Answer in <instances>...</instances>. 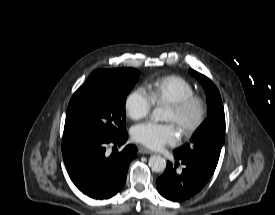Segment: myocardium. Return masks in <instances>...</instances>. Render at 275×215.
I'll list each match as a JSON object with an SVG mask.
<instances>
[{
	"mask_svg": "<svg viewBox=\"0 0 275 215\" xmlns=\"http://www.w3.org/2000/svg\"><path fill=\"white\" fill-rule=\"evenodd\" d=\"M168 107H170L178 115H184L194 107L197 109L196 115L191 121L181 124L180 129L184 136H190L198 130L206 120L208 113L206 101L204 98L196 94H192L178 101L169 103Z\"/></svg>",
	"mask_w": 275,
	"mask_h": 215,
	"instance_id": "1",
	"label": "myocardium"
}]
</instances>
